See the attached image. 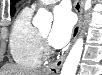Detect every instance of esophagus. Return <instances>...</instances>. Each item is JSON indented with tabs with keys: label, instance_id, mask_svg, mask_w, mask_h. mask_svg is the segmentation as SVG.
I'll return each instance as SVG.
<instances>
[{
	"label": "esophagus",
	"instance_id": "obj_1",
	"mask_svg": "<svg viewBox=\"0 0 102 75\" xmlns=\"http://www.w3.org/2000/svg\"><path fill=\"white\" fill-rule=\"evenodd\" d=\"M82 8H83V0H75L74 1V10L76 11L78 15V23L76 27L73 30V35H72V43L76 40L80 28H81V23H82ZM67 55V52L62 55L59 59H57L54 63L46 66L43 71L46 74H51V75H58L60 72V69L63 65V62L65 60V57Z\"/></svg>",
	"mask_w": 102,
	"mask_h": 75
}]
</instances>
